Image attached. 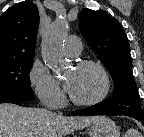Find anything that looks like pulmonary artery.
Returning <instances> with one entry per match:
<instances>
[{"mask_svg": "<svg viewBox=\"0 0 144 137\" xmlns=\"http://www.w3.org/2000/svg\"><path fill=\"white\" fill-rule=\"evenodd\" d=\"M81 50H82L81 40L75 35L68 36L65 41L66 53L69 56H77L80 54Z\"/></svg>", "mask_w": 144, "mask_h": 137, "instance_id": "e3ab8cb5", "label": "pulmonary artery"}]
</instances>
